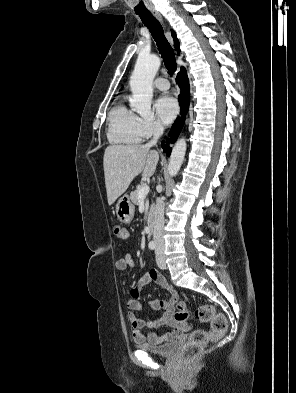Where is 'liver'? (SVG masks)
<instances>
[{
	"instance_id": "obj_1",
	"label": "liver",
	"mask_w": 296,
	"mask_h": 393,
	"mask_svg": "<svg viewBox=\"0 0 296 393\" xmlns=\"http://www.w3.org/2000/svg\"><path fill=\"white\" fill-rule=\"evenodd\" d=\"M158 160V153L147 145L108 146L103 157L108 204L112 205L139 174L151 177Z\"/></svg>"
}]
</instances>
